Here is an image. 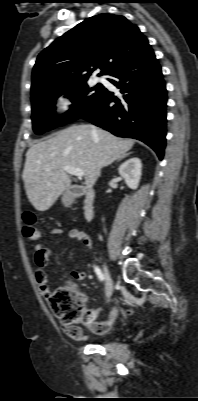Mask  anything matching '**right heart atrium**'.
<instances>
[{"instance_id": "1", "label": "right heart atrium", "mask_w": 198, "mask_h": 401, "mask_svg": "<svg viewBox=\"0 0 198 401\" xmlns=\"http://www.w3.org/2000/svg\"><path fill=\"white\" fill-rule=\"evenodd\" d=\"M75 103H76V101L72 94L61 93L56 97V99L54 101V106H55L57 113L61 117H65L72 112V110L75 106Z\"/></svg>"}]
</instances>
